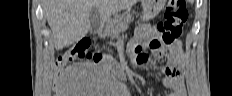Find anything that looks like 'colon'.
Masks as SVG:
<instances>
[{
	"label": "colon",
	"mask_w": 232,
	"mask_h": 96,
	"mask_svg": "<svg viewBox=\"0 0 232 96\" xmlns=\"http://www.w3.org/2000/svg\"><path fill=\"white\" fill-rule=\"evenodd\" d=\"M188 18L186 2L184 0H168L164 9V18L156 25L157 36L151 41L149 47L159 51L164 57L170 58L175 54L174 43L182 32V26ZM88 39H81L75 45L68 48L56 61V69L64 67L72 59H85L99 62L103 56L101 53L91 51ZM135 57L131 64L142 67L148 61V54L140 46L134 49Z\"/></svg>",
	"instance_id": "5ec220e1"
}]
</instances>
